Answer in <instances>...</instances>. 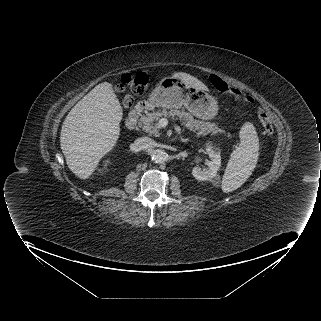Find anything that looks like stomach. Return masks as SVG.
<instances>
[{"label":"stomach","mask_w":321,"mask_h":321,"mask_svg":"<svg viewBox=\"0 0 321 321\" xmlns=\"http://www.w3.org/2000/svg\"><path fill=\"white\" fill-rule=\"evenodd\" d=\"M147 103L152 108L172 109L184 106L192 115L203 120H211L218 113L215 97L174 76L164 77L151 92Z\"/></svg>","instance_id":"1"}]
</instances>
